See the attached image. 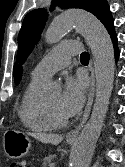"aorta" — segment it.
I'll return each mask as SVG.
<instances>
[{"mask_svg": "<svg viewBox=\"0 0 125 167\" xmlns=\"http://www.w3.org/2000/svg\"><path fill=\"white\" fill-rule=\"evenodd\" d=\"M72 28H76L86 38L95 59V103L70 159L71 167H89L113 89L114 49L103 24L93 15L83 11L65 12L55 18L45 33V41L49 44L56 43ZM57 89L58 86H52V90Z\"/></svg>", "mask_w": 125, "mask_h": 167, "instance_id": "obj_1", "label": "aorta"}]
</instances>
